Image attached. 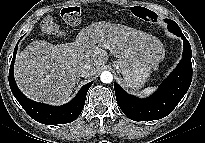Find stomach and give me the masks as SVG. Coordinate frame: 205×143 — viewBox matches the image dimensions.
I'll return each instance as SVG.
<instances>
[{"instance_id": "stomach-1", "label": "stomach", "mask_w": 205, "mask_h": 143, "mask_svg": "<svg viewBox=\"0 0 205 143\" xmlns=\"http://www.w3.org/2000/svg\"><path fill=\"white\" fill-rule=\"evenodd\" d=\"M161 44L157 45L156 57H161ZM155 61L148 58L120 59L114 61L112 66L123 75L125 87L138 90L150 79Z\"/></svg>"}]
</instances>
